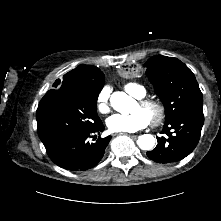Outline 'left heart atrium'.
I'll list each match as a JSON object with an SVG mask.
<instances>
[{"mask_svg": "<svg viewBox=\"0 0 221 221\" xmlns=\"http://www.w3.org/2000/svg\"><path fill=\"white\" fill-rule=\"evenodd\" d=\"M149 123V117L142 110H136L128 115L115 114L106 122L111 132H135L147 127Z\"/></svg>", "mask_w": 221, "mask_h": 221, "instance_id": "1", "label": "left heart atrium"}]
</instances>
